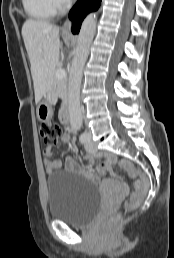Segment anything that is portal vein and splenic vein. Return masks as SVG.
Listing matches in <instances>:
<instances>
[{
  "instance_id": "portal-vein-and-splenic-vein-1",
  "label": "portal vein and splenic vein",
  "mask_w": 174,
  "mask_h": 258,
  "mask_svg": "<svg viewBox=\"0 0 174 258\" xmlns=\"http://www.w3.org/2000/svg\"><path fill=\"white\" fill-rule=\"evenodd\" d=\"M66 76V72L64 69H59L56 71V77L59 79H63Z\"/></svg>"
}]
</instances>
